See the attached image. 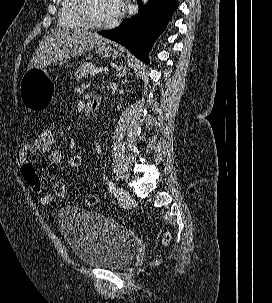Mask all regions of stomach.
Returning a JSON list of instances; mask_svg holds the SVG:
<instances>
[{
    "mask_svg": "<svg viewBox=\"0 0 272 303\" xmlns=\"http://www.w3.org/2000/svg\"><path fill=\"white\" fill-rule=\"evenodd\" d=\"M96 52L104 57L117 58L120 50L106 41L96 48ZM54 95V84L46 68H33L27 70L20 82V97L28 110H41L47 108Z\"/></svg>",
    "mask_w": 272,
    "mask_h": 303,
    "instance_id": "0dacf381",
    "label": "stomach"
}]
</instances>
